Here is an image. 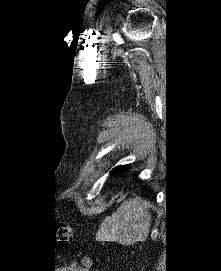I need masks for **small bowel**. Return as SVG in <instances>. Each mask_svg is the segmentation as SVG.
I'll list each match as a JSON object with an SVG mask.
<instances>
[{
	"label": "small bowel",
	"instance_id": "1",
	"mask_svg": "<svg viewBox=\"0 0 221 271\" xmlns=\"http://www.w3.org/2000/svg\"><path fill=\"white\" fill-rule=\"evenodd\" d=\"M90 266L91 261L89 259H85L82 265L72 264L70 271H89Z\"/></svg>",
	"mask_w": 221,
	"mask_h": 271
}]
</instances>
